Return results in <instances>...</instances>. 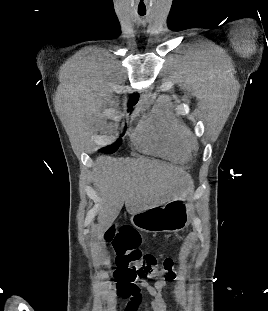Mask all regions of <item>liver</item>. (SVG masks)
<instances>
[{
  "label": "liver",
  "mask_w": 268,
  "mask_h": 311,
  "mask_svg": "<svg viewBox=\"0 0 268 311\" xmlns=\"http://www.w3.org/2000/svg\"><path fill=\"white\" fill-rule=\"evenodd\" d=\"M94 187L100 198L98 229L105 231L124 203L130 214L160 206L185 195L190 176L180 168L146 158L100 156L93 169Z\"/></svg>",
  "instance_id": "liver-1"
}]
</instances>
